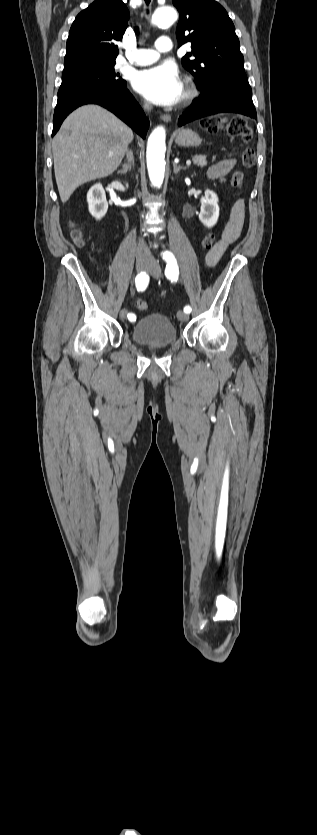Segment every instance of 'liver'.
Returning <instances> with one entry per match:
<instances>
[{
  "label": "liver",
  "instance_id": "obj_1",
  "mask_svg": "<svg viewBox=\"0 0 317 835\" xmlns=\"http://www.w3.org/2000/svg\"><path fill=\"white\" fill-rule=\"evenodd\" d=\"M133 137L130 127L100 106L85 105L72 112L52 141L61 201H68L83 183L111 175Z\"/></svg>",
  "mask_w": 317,
  "mask_h": 835
}]
</instances>
